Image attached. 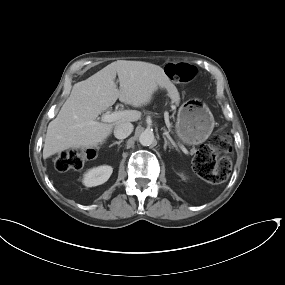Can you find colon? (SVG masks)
Wrapping results in <instances>:
<instances>
[{"mask_svg":"<svg viewBox=\"0 0 285 285\" xmlns=\"http://www.w3.org/2000/svg\"><path fill=\"white\" fill-rule=\"evenodd\" d=\"M167 71L172 78L180 82H189L194 76L193 67L188 64H168ZM232 144L226 131L221 128L210 142L198 148L193 168L204 180L221 183L227 179L231 171L230 153ZM86 159V151L70 149L62 151L55 159V167L59 171L81 169Z\"/></svg>","mask_w":285,"mask_h":285,"instance_id":"1","label":"colon"}]
</instances>
